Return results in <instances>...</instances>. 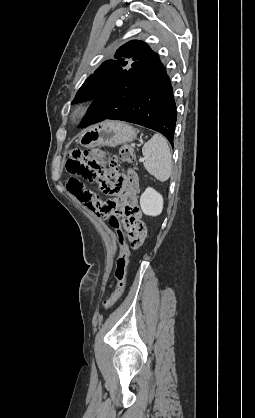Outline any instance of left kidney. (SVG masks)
Listing matches in <instances>:
<instances>
[{
  "label": "left kidney",
  "instance_id": "obj_1",
  "mask_svg": "<svg viewBox=\"0 0 255 418\" xmlns=\"http://www.w3.org/2000/svg\"><path fill=\"white\" fill-rule=\"evenodd\" d=\"M140 206L146 215H160L163 209V197L156 190L148 187L140 197Z\"/></svg>",
  "mask_w": 255,
  "mask_h": 418
}]
</instances>
